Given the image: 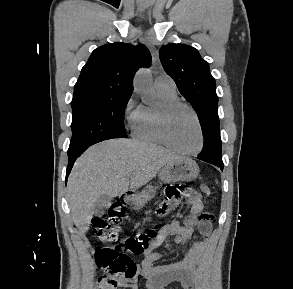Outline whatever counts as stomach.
I'll list each match as a JSON object with an SVG mask.
<instances>
[{
    "label": "stomach",
    "instance_id": "obj_1",
    "mask_svg": "<svg viewBox=\"0 0 293 289\" xmlns=\"http://www.w3.org/2000/svg\"><path fill=\"white\" fill-rule=\"evenodd\" d=\"M199 176V167L195 161L188 158H179L168 162L159 172V178L165 183L177 181H192ZM147 194L154 193V187L148 186L144 191ZM135 208L141 206L137 197L131 200Z\"/></svg>",
    "mask_w": 293,
    "mask_h": 289
}]
</instances>
